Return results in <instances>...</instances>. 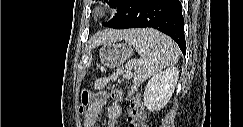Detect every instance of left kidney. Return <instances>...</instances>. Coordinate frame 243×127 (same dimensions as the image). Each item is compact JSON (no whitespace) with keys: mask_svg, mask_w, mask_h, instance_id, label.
Instances as JSON below:
<instances>
[{"mask_svg":"<svg viewBox=\"0 0 243 127\" xmlns=\"http://www.w3.org/2000/svg\"><path fill=\"white\" fill-rule=\"evenodd\" d=\"M179 78L177 68H168L154 75L144 91V105L148 110L160 111L169 102Z\"/></svg>","mask_w":243,"mask_h":127,"instance_id":"1","label":"left kidney"}]
</instances>
